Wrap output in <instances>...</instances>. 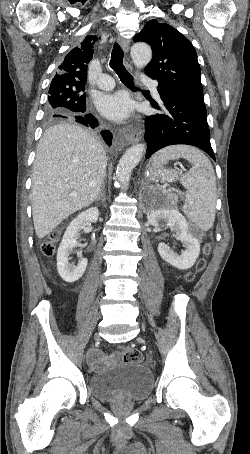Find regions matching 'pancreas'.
Masks as SVG:
<instances>
[{
  "mask_svg": "<svg viewBox=\"0 0 250 454\" xmlns=\"http://www.w3.org/2000/svg\"><path fill=\"white\" fill-rule=\"evenodd\" d=\"M166 196L168 198V200H170L171 202H173L174 204H176L178 202V197L177 195L173 194V193H170V192H166Z\"/></svg>",
  "mask_w": 250,
  "mask_h": 454,
  "instance_id": "cf45deb5",
  "label": "pancreas"
}]
</instances>
